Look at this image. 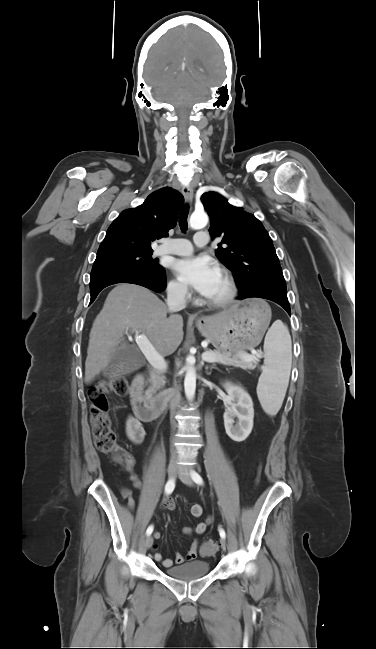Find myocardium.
I'll return each mask as SVG.
<instances>
[{"label":"myocardium","instance_id":"obj_1","mask_svg":"<svg viewBox=\"0 0 376 649\" xmlns=\"http://www.w3.org/2000/svg\"><path fill=\"white\" fill-rule=\"evenodd\" d=\"M220 274L224 277L227 283V292L219 299H205V303L214 308H221L229 305L237 295V285L232 274L225 268L220 270Z\"/></svg>","mask_w":376,"mask_h":649}]
</instances>
